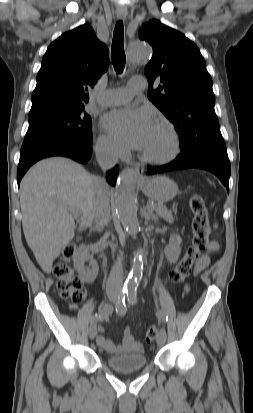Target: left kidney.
Masks as SVG:
<instances>
[{"mask_svg": "<svg viewBox=\"0 0 253 413\" xmlns=\"http://www.w3.org/2000/svg\"><path fill=\"white\" fill-rule=\"evenodd\" d=\"M181 243H182V239L179 235L172 234L170 236L169 245H167L164 249L166 259L169 261V263L177 262L180 256V253H181V248H180Z\"/></svg>", "mask_w": 253, "mask_h": 413, "instance_id": "obj_1", "label": "left kidney"}]
</instances>
